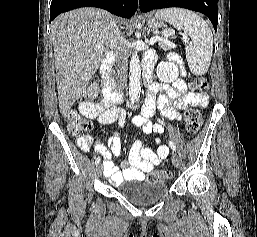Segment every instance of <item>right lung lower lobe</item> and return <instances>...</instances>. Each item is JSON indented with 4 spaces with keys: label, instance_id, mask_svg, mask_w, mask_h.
Segmentation results:
<instances>
[{
    "label": "right lung lower lobe",
    "instance_id": "right-lung-lower-lobe-1",
    "mask_svg": "<svg viewBox=\"0 0 257 237\" xmlns=\"http://www.w3.org/2000/svg\"><path fill=\"white\" fill-rule=\"evenodd\" d=\"M80 7H98L117 16L130 18L138 7V0H52L50 22L59 14Z\"/></svg>",
    "mask_w": 257,
    "mask_h": 237
}]
</instances>
